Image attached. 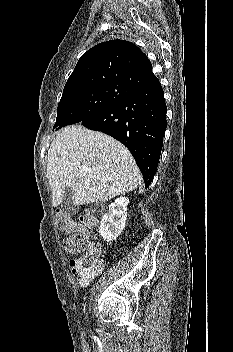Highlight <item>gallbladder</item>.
Masks as SVG:
<instances>
[{"label":"gallbladder","instance_id":"obj_1","mask_svg":"<svg viewBox=\"0 0 233 352\" xmlns=\"http://www.w3.org/2000/svg\"><path fill=\"white\" fill-rule=\"evenodd\" d=\"M73 191L72 188L66 187L64 190L63 200L61 202V208L65 213L73 214L77 211L72 201Z\"/></svg>","mask_w":233,"mask_h":352}]
</instances>
